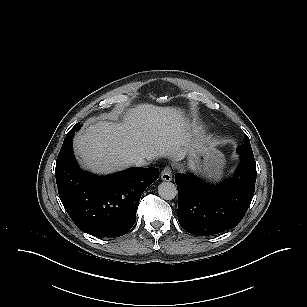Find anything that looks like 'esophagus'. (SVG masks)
I'll use <instances>...</instances> for the list:
<instances>
[{
	"label": "esophagus",
	"mask_w": 307,
	"mask_h": 307,
	"mask_svg": "<svg viewBox=\"0 0 307 307\" xmlns=\"http://www.w3.org/2000/svg\"><path fill=\"white\" fill-rule=\"evenodd\" d=\"M161 179L163 181H171L172 180V170L170 167H165L161 172Z\"/></svg>",
	"instance_id": "obj_1"
}]
</instances>
